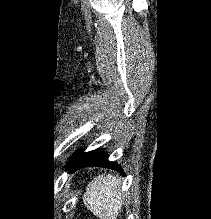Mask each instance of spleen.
<instances>
[{
  "label": "spleen",
  "mask_w": 211,
  "mask_h": 219,
  "mask_svg": "<svg viewBox=\"0 0 211 219\" xmlns=\"http://www.w3.org/2000/svg\"><path fill=\"white\" fill-rule=\"evenodd\" d=\"M120 181L110 174L98 176L87 186L83 201L100 219H116L122 208Z\"/></svg>",
  "instance_id": "obj_1"
}]
</instances>
